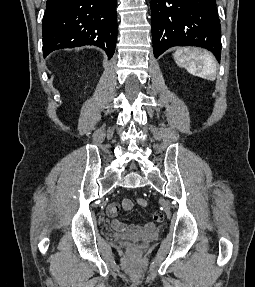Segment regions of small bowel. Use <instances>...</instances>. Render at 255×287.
<instances>
[{"instance_id": "1", "label": "small bowel", "mask_w": 255, "mask_h": 287, "mask_svg": "<svg viewBox=\"0 0 255 287\" xmlns=\"http://www.w3.org/2000/svg\"><path fill=\"white\" fill-rule=\"evenodd\" d=\"M121 206L125 210H131L133 207L132 200L126 198L123 199L121 202ZM120 205L116 202L110 203L107 206L106 212L107 214L113 218L111 222L112 228L120 233H126V234H139V233H150L155 230L156 223L162 222L164 219V215L160 211H153L151 213L152 220L144 225H127L120 220L116 219V216L118 215Z\"/></svg>"}]
</instances>
